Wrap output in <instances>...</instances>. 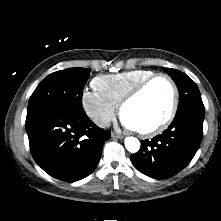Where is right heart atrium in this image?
I'll list each match as a JSON object with an SVG mask.
<instances>
[{"mask_svg": "<svg viewBox=\"0 0 221 221\" xmlns=\"http://www.w3.org/2000/svg\"><path fill=\"white\" fill-rule=\"evenodd\" d=\"M82 106L88 117L99 127H106L114 119L117 106L98 93L86 90L82 94Z\"/></svg>", "mask_w": 221, "mask_h": 221, "instance_id": "d8ad5b80", "label": "right heart atrium"}]
</instances>
